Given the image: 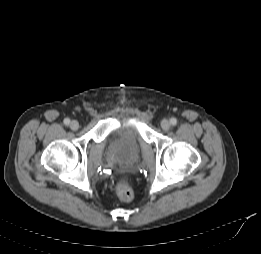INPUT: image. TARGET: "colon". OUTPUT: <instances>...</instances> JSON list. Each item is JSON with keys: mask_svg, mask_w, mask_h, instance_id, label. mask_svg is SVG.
I'll use <instances>...</instances> for the list:
<instances>
[{"mask_svg": "<svg viewBox=\"0 0 261 254\" xmlns=\"http://www.w3.org/2000/svg\"><path fill=\"white\" fill-rule=\"evenodd\" d=\"M115 191L118 197L125 202L131 201L133 198V190L126 180H120L115 186Z\"/></svg>", "mask_w": 261, "mask_h": 254, "instance_id": "obj_1", "label": "colon"}]
</instances>
